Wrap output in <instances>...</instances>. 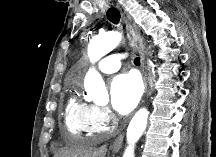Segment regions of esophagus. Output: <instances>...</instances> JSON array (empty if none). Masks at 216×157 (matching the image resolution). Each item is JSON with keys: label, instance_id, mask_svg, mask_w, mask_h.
<instances>
[{"label": "esophagus", "instance_id": "obj_1", "mask_svg": "<svg viewBox=\"0 0 216 157\" xmlns=\"http://www.w3.org/2000/svg\"><path fill=\"white\" fill-rule=\"evenodd\" d=\"M116 7L120 11L123 20L126 22L130 35L136 41V46H137V49H138L140 57H141L145 92H147L148 80H147L146 63H145L146 52H145V47H144L142 38L140 36V33H139L137 27L131 25V17L129 15V13L126 11V9L119 3L116 4ZM122 142H123V135L121 134L115 139V141L111 145V149L113 151H118L121 148Z\"/></svg>", "mask_w": 216, "mask_h": 157}]
</instances>
